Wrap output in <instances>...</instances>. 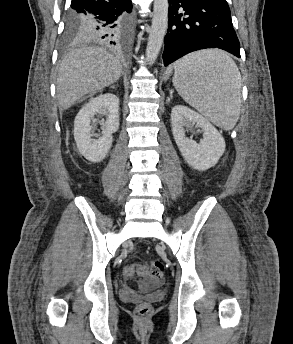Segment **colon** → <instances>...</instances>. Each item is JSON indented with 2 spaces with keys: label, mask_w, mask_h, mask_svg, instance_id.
<instances>
[{
  "label": "colon",
  "mask_w": 293,
  "mask_h": 344,
  "mask_svg": "<svg viewBox=\"0 0 293 344\" xmlns=\"http://www.w3.org/2000/svg\"><path fill=\"white\" fill-rule=\"evenodd\" d=\"M165 272L163 262L160 260H152L146 264H132L125 268L124 274L130 278L136 274L138 277L146 279L149 283L159 281ZM151 312L149 303H141L136 308V314L140 318L147 317Z\"/></svg>",
  "instance_id": "obj_1"
}]
</instances>
